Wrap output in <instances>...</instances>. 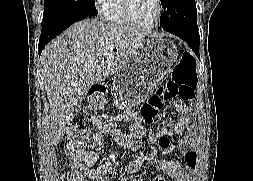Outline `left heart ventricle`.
Listing matches in <instances>:
<instances>
[{
  "label": "left heart ventricle",
  "instance_id": "obj_1",
  "mask_svg": "<svg viewBox=\"0 0 253 181\" xmlns=\"http://www.w3.org/2000/svg\"><path fill=\"white\" fill-rule=\"evenodd\" d=\"M131 10L134 18L143 24H150L157 14L156 0H131Z\"/></svg>",
  "mask_w": 253,
  "mask_h": 181
}]
</instances>
